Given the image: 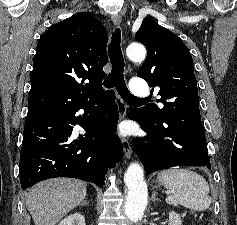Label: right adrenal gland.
I'll return each instance as SVG.
<instances>
[{
  "label": "right adrenal gland",
  "mask_w": 237,
  "mask_h": 225,
  "mask_svg": "<svg viewBox=\"0 0 237 225\" xmlns=\"http://www.w3.org/2000/svg\"><path fill=\"white\" fill-rule=\"evenodd\" d=\"M88 204V202H86V201H84L83 203H82V205H87Z\"/></svg>",
  "instance_id": "1"
}]
</instances>
